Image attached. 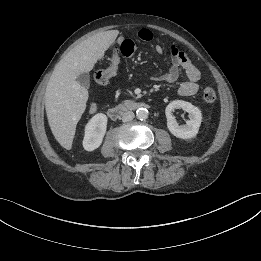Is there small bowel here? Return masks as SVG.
I'll return each instance as SVG.
<instances>
[{
	"label": "small bowel",
	"instance_id": "1",
	"mask_svg": "<svg viewBox=\"0 0 261 261\" xmlns=\"http://www.w3.org/2000/svg\"><path fill=\"white\" fill-rule=\"evenodd\" d=\"M137 37L142 42H150L153 40L154 35L151 30L143 28L140 29ZM115 45L119 47L122 55L128 59L130 58L136 49V43L132 39L118 38ZM158 54H164L165 49L156 45L154 47ZM171 66L167 73L158 75L155 77L157 81L173 83L177 81L182 72L185 73L187 80L179 85L178 93L181 96H192L197 93L199 89L198 81L200 79V71L190 60L188 55L179 50L175 45H171L169 48ZM97 110V105L92 104L90 106V112L94 113Z\"/></svg>",
	"mask_w": 261,
	"mask_h": 261
}]
</instances>
